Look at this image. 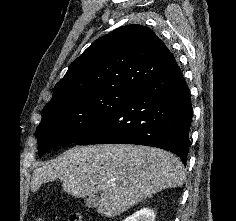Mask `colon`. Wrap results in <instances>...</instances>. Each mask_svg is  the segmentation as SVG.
I'll list each match as a JSON object with an SVG mask.
<instances>
[{"instance_id": "obj_1", "label": "colon", "mask_w": 236, "mask_h": 221, "mask_svg": "<svg viewBox=\"0 0 236 221\" xmlns=\"http://www.w3.org/2000/svg\"><path fill=\"white\" fill-rule=\"evenodd\" d=\"M36 221H47V220L43 218H38ZM68 221H84V220L79 215H72L69 217Z\"/></svg>"}]
</instances>
